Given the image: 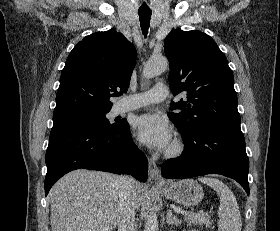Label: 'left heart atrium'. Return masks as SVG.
<instances>
[{"label":"left heart atrium","instance_id":"left-heart-atrium-1","mask_svg":"<svg viewBox=\"0 0 280 231\" xmlns=\"http://www.w3.org/2000/svg\"><path fill=\"white\" fill-rule=\"evenodd\" d=\"M133 134L138 140L158 151L168 149L173 141L170 126L153 114L138 116L133 122Z\"/></svg>","mask_w":280,"mask_h":231}]
</instances>
